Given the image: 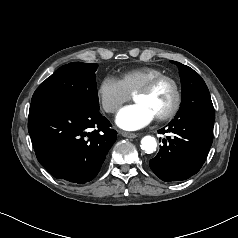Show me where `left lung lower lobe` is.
Listing matches in <instances>:
<instances>
[{
	"mask_svg": "<svg viewBox=\"0 0 238 238\" xmlns=\"http://www.w3.org/2000/svg\"><path fill=\"white\" fill-rule=\"evenodd\" d=\"M214 120L173 119L158 132L171 133L149 162L152 171L163 181L190 178L202 167L213 139Z\"/></svg>",
	"mask_w": 238,
	"mask_h": 238,
	"instance_id": "left-lung-lower-lobe-1",
	"label": "left lung lower lobe"
}]
</instances>
